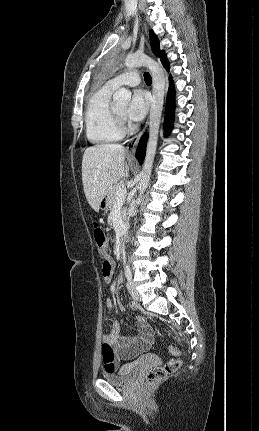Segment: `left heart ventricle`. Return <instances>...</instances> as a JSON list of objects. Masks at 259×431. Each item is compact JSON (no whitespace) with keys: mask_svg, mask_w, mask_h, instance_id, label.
I'll return each instance as SVG.
<instances>
[{"mask_svg":"<svg viewBox=\"0 0 259 431\" xmlns=\"http://www.w3.org/2000/svg\"><path fill=\"white\" fill-rule=\"evenodd\" d=\"M115 109L117 112H119L120 114L123 115L125 113L126 107L125 106H119V107H116Z\"/></svg>","mask_w":259,"mask_h":431,"instance_id":"1","label":"left heart ventricle"}]
</instances>
